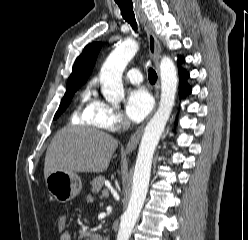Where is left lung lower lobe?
Instances as JSON below:
<instances>
[{"label":"left lung lower lobe","mask_w":248,"mask_h":240,"mask_svg":"<svg viewBox=\"0 0 248 240\" xmlns=\"http://www.w3.org/2000/svg\"><path fill=\"white\" fill-rule=\"evenodd\" d=\"M185 62V59L182 58L178 61V64H182ZM179 77H180V97H186L187 95L191 94V87L189 84L185 83V80L189 78V73L180 67L179 69Z\"/></svg>","instance_id":"0a47b994"}]
</instances>
